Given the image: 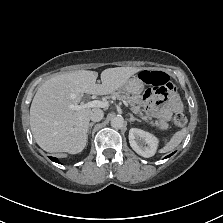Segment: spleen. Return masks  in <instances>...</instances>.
I'll list each match as a JSON object with an SVG mask.
<instances>
[{"label":"spleen","instance_id":"3e777b00","mask_svg":"<svg viewBox=\"0 0 223 223\" xmlns=\"http://www.w3.org/2000/svg\"><path fill=\"white\" fill-rule=\"evenodd\" d=\"M186 134V129H182L181 131H178L174 134V136L172 137V139L170 140L169 143H167V145L161 149L159 152L160 153H166L169 151L174 150L183 140V138L185 137Z\"/></svg>","mask_w":223,"mask_h":223}]
</instances>
